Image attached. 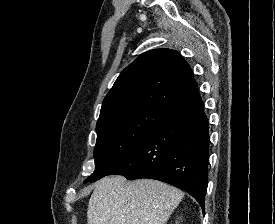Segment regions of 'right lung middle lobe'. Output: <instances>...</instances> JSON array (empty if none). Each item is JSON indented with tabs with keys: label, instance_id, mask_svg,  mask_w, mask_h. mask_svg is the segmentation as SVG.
Returning <instances> with one entry per match:
<instances>
[{
	"label": "right lung middle lobe",
	"instance_id": "obj_1",
	"mask_svg": "<svg viewBox=\"0 0 275 224\" xmlns=\"http://www.w3.org/2000/svg\"><path fill=\"white\" fill-rule=\"evenodd\" d=\"M165 111L143 107L96 126L95 171L85 182L109 175L145 139Z\"/></svg>",
	"mask_w": 275,
	"mask_h": 224
}]
</instances>
